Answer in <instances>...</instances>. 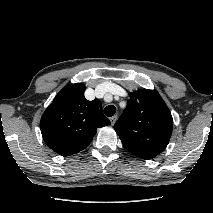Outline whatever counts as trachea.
<instances>
[{
    "mask_svg": "<svg viewBox=\"0 0 213 213\" xmlns=\"http://www.w3.org/2000/svg\"><path fill=\"white\" fill-rule=\"evenodd\" d=\"M115 112H116V107L114 105H108L104 109V114L108 117L113 116L115 114Z\"/></svg>",
    "mask_w": 213,
    "mask_h": 213,
    "instance_id": "obj_1",
    "label": "trachea"
}]
</instances>
